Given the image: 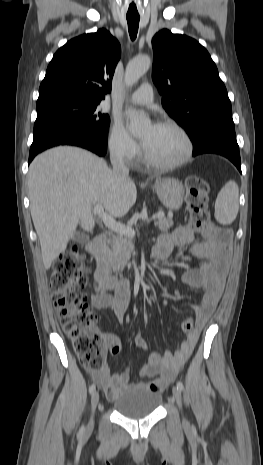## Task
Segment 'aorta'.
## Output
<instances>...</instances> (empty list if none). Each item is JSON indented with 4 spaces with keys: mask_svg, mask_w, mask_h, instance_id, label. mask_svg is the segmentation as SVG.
Segmentation results:
<instances>
[{
    "mask_svg": "<svg viewBox=\"0 0 263 465\" xmlns=\"http://www.w3.org/2000/svg\"><path fill=\"white\" fill-rule=\"evenodd\" d=\"M151 59L145 55L131 60L125 70V84L130 87L136 83L149 69ZM130 118V131L134 134L142 132L150 123L149 118L144 114L129 108L126 111Z\"/></svg>",
    "mask_w": 263,
    "mask_h": 465,
    "instance_id": "obj_1",
    "label": "aorta"
}]
</instances>
